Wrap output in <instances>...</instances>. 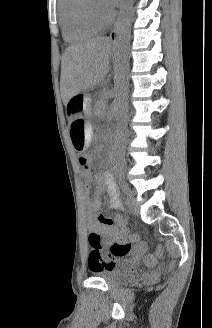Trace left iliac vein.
Listing matches in <instances>:
<instances>
[{
  "label": "left iliac vein",
  "mask_w": 212,
  "mask_h": 328,
  "mask_svg": "<svg viewBox=\"0 0 212 328\" xmlns=\"http://www.w3.org/2000/svg\"><path fill=\"white\" fill-rule=\"evenodd\" d=\"M126 204L127 208L134 216H137L139 214L138 205L134 199L133 193L130 190L127 193Z\"/></svg>",
  "instance_id": "1"
}]
</instances>
